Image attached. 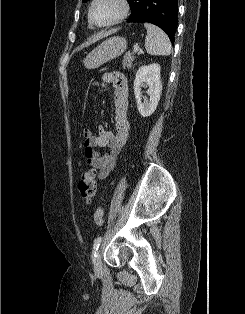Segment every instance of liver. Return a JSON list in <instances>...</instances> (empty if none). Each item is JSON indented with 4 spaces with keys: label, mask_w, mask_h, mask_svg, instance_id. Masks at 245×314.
<instances>
[{
    "label": "liver",
    "mask_w": 245,
    "mask_h": 314,
    "mask_svg": "<svg viewBox=\"0 0 245 314\" xmlns=\"http://www.w3.org/2000/svg\"><path fill=\"white\" fill-rule=\"evenodd\" d=\"M111 34V31L108 32H101L99 33L96 37H94L92 40L88 41L87 43L84 44V46H89L92 43H95L96 41L108 36Z\"/></svg>",
    "instance_id": "6515ba94"
}]
</instances>
